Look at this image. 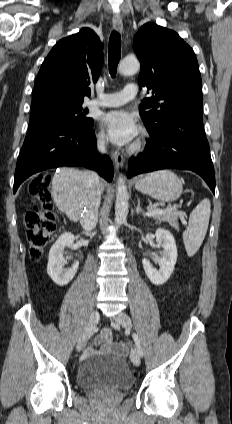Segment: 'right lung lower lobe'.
I'll return each instance as SVG.
<instances>
[{
    "mask_svg": "<svg viewBox=\"0 0 232 424\" xmlns=\"http://www.w3.org/2000/svg\"><path fill=\"white\" fill-rule=\"evenodd\" d=\"M84 165L96 170L107 181L113 179L110 158L96 152V137L91 128L82 130L61 127L29 128L19 154L13 192L29 176L60 166Z\"/></svg>",
    "mask_w": 232,
    "mask_h": 424,
    "instance_id": "98d812e1",
    "label": "right lung lower lobe"
}]
</instances>
